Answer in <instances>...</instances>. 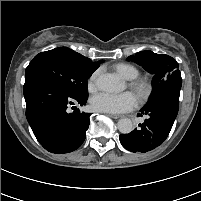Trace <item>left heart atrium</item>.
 <instances>
[{
	"mask_svg": "<svg viewBox=\"0 0 201 201\" xmlns=\"http://www.w3.org/2000/svg\"><path fill=\"white\" fill-rule=\"evenodd\" d=\"M136 98L130 92L121 94L99 93L91 99V107L97 112L120 114L136 106Z\"/></svg>",
	"mask_w": 201,
	"mask_h": 201,
	"instance_id": "39dd6f15",
	"label": "left heart atrium"
}]
</instances>
